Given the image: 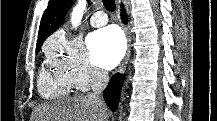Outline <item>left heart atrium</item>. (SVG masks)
Here are the masks:
<instances>
[{
    "mask_svg": "<svg viewBox=\"0 0 217 121\" xmlns=\"http://www.w3.org/2000/svg\"><path fill=\"white\" fill-rule=\"evenodd\" d=\"M90 55L95 64L103 69H112L124 53V39L115 27L95 31L88 38Z\"/></svg>",
    "mask_w": 217,
    "mask_h": 121,
    "instance_id": "obj_1",
    "label": "left heart atrium"
}]
</instances>
